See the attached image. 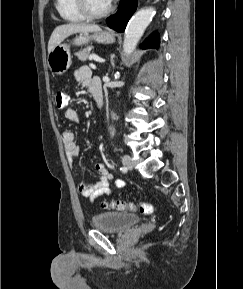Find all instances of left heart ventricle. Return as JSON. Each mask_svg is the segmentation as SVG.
<instances>
[{"instance_id": "1", "label": "left heart ventricle", "mask_w": 243, "mask_h": 289, "mask_svg": "<svg viewBox=\"0 0 243 289\" xmlns=\"http://www.w3.org/2000/svg\"><path fill=\"white\" fill-rule=\"evenodd\" d=\"M88 5L92 11L101 12L108 7L109 2L108 0H88Z\"/></svg>"}]
</instances>
